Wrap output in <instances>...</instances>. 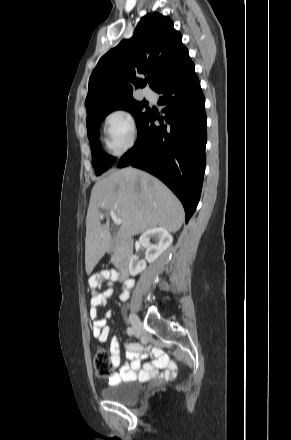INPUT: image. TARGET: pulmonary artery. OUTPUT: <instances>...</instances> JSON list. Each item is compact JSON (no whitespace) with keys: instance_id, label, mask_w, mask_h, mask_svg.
I'll return each mask as SVG.
<instances>
[{"instance_id":"e3ab8cb5","label":"pulmonary artery","mask_w":291,"mask_h":440,"mask_svg":"<svg viewBox=\"0 0 291 440\" xmlns=\"http://www.w3.org/2000/svg\"><path fill=\"white\" fill-rule=\"evenodd\" d=\"M143 95L147 98V99H152V92L150 89H143Z\"/></svg>"}]
</instances>
